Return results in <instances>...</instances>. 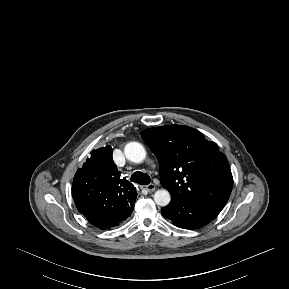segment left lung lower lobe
<instances>
[{
	"instance_id": "0a47b994",
	"label": "left lung lower lobe",
	"mask_w": 289,
	"mask_h": 289,
	"mask_svg": "<svg viewBox=\"0 0 289 289\" xmlns=\"http://www.w3.org/2000/svg\"><path fill=\"white\" fill-rule=\"evenodd\" d=\"M162 215L180 228L197 229L207 225L219 213L212 207L192 199H176L161 210Z\"/></svg>"
}]
</instances>
